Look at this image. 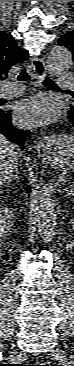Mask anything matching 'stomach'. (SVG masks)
<instances>
[{"mask_svg": "<svg viewBox=\"0 0 74 366\" xmlns=\"http://www.w3.org/2000/svg\"><path fill=\"white\" fill-rule=\"evenodd\" d=\"M64 143H67V144H69V143H71V141H65Z\"/></svg>", "mask_w": 74, "mask_h": 366, "instance_id": "obj_1", "label": "stomach"}]
</instances>
